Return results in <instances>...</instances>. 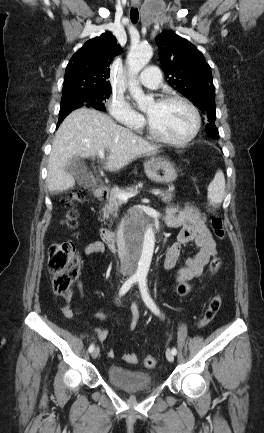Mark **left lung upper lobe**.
Segmentation results:
<instances>
[{
    "mask_svg": "<svg viewBox=\"0 0 264 433\" xmlns=\"http://www.w3.org/2000/svg\"><path fill=\"white\" fill-rule=\"evenodd\" d=\"M156 42L168 83L201 110L207 122L206 132L218 138L212 73L203 54L172 31L159 34Z\"/></svg>",
    "mask_w": 264,
    "mask_h": 433,
    "instance_id": "obj_1",
    "label": "left lung upper lobe"
}]
</instances>
